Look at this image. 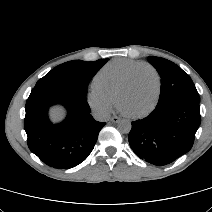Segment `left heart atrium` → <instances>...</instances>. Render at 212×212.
<instances>
[{"instance_id": "1", "label": "left heart atrium", "mask_w": 212, "mask_h": 212, "mask_svg": "<svg viewBox=\"0 0 212 212\" xmlns=\"http://www.w3.org/2000/svg\"><path fill=\"white\" fill-rule=\"evenodd\" d=\"M121 110H122L123 113L127 114V112L123 108Z\"/></svg>"}]
</instances>
